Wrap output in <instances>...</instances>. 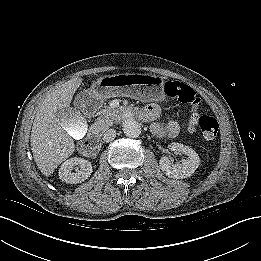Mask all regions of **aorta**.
<instances>
[{"label":"aorta","mask_w":261,"mask_h":261,"mask_svg":"<svg viewBox=\"0 0 261 261\" xmlns=\"http://www.w3.org/2000/svg\"><path fill=\"white\" fill-rule=\"evenodd\" d=\"M123 131L126 136L130 138H137L141 134V125L132 116L127 115L124 118Z\"/></svg>","instance_id":"762f6f07"}]
</instances>
